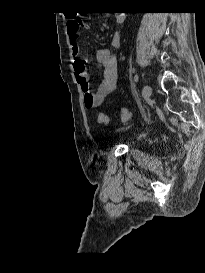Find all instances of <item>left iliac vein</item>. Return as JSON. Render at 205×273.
<instances>
[{
    "mask_svg": "<svg viewBox=\"0 0 205 273\" xmlns=\"http://www.w3.org/2000/svg\"><path fill=\"white\" fill-rule=\"evenodd\" d=\"M143 97L145 98V99H147V98H149L150 97V95H151V93H152V88L149 86V85H144V87H143Z\"/></svg>",
    "mask_w": 205,
    "mask_h": 273,
    "instance_id": "obj_1",
    "label": "left iliac vein"
}]
</instances>
